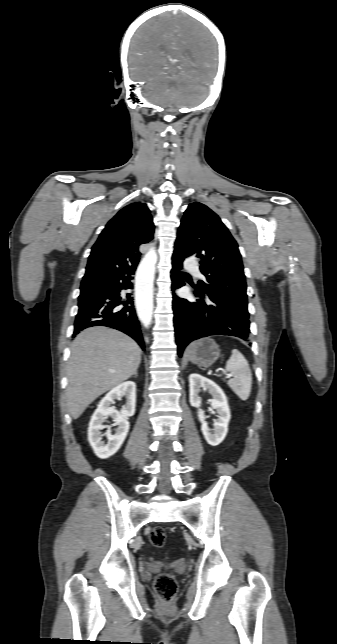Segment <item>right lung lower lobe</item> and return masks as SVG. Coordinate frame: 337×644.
Instances as JSON below:
<instances>
[{
  "instance_id": "98d812e1",
  "label": "right lung lower lobe",
  "mask_w": 337,
  "mask_h": 644,
  "mask_svg": "<svg viewBox=\"0 0 337 644\" xmlns=\"http://www.w3.org/2000/svg\"><path fill=\"white\" fill-rule=\"evenodd\" d=\"M135 270L136 266L121 270L106 279L101 288L79 300L73 336L88 327L107 326L126 333L145 350L133 297L120 295L122 289L133 288L131 280Z\"/></svg>"
}]
</instances>
